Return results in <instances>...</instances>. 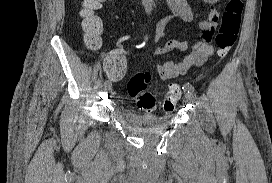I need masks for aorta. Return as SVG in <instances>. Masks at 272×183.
Returning a JSON list of instances; mask_svg holds the SVG:
<instances>
[{
  "label": "aorta",
  "instance_id": "aorta-1",
  "mask_svg": "<svg viewBox=\"0 0 272 183\" xmlns=\"http://www.w3.org/2000/svg\"><path fill=\"white\" fill-rule=\"evenodd\" d=\"M146 14L150 15L153 7V0H142Z\"/></svg>",
  "mask_w": 272,
  "mask_h": 183
}]
</instances>
